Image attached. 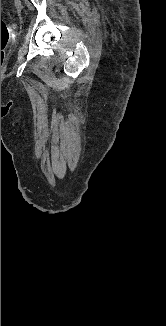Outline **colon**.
I'll return each mask as SVG.
<instances>
[{
  "label": "colon",
  "instance_id": "5ec220e1",
  "mask_svg": "<svg viewBox=\"0 0 166 326\" xmlns=\"http://www.w3.org/2000/svg\"><path fill=\"white\" fill-rule=\"evenodd\" d=\"M9 40V33L5 22L1 19V66L5 59V48Z\"/></svg>",
  "mask_w": 166,
  "mask_h": 326
}]
</instances>
